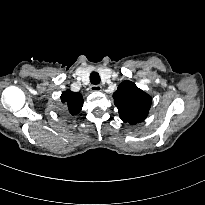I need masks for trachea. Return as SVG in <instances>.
I'll return each mask as SVG.
<instances>
[{
	"label": "trachea",
	"mask_w": 205,
	"mask_h": 205,
	"mask_svg": "<svg viewBox=\"0 0 205 205\" xmlns=\"http://www.w3.org/2000/svg\"><path fill=\"white\" fill-rule=\"evenodd\" d=\"M90 81L92 84L97 85L100 83V76L97 72H92L90 74Z\"/></svg>",
	"instance_id": "trachea-1"
}]
</instances>
